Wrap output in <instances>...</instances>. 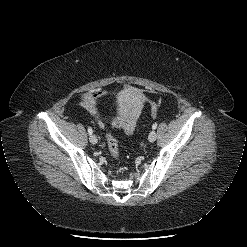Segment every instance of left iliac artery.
I'll return each instance as SVG.
<instances>
[{
	"instance_id": "44dca946",
	"label": "left iliac artery",
	"mask_w": 247,
	"mask_h": 247,
	"mask_svg": "<svg viewBox=\"0 0 247 247\" xmlns=\"http://www.w3.org/2000/svg\"><path fill=\"white\" fill-rule=\"evenodd\" d=\"M157 125H158V124L155 122V123L152 125V128H153V129H156V128H157Z\"/></svg>"
}]
</instances>
